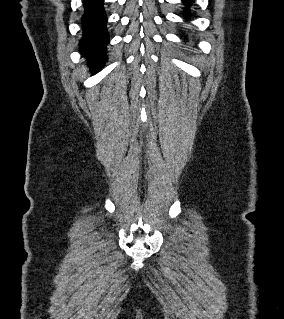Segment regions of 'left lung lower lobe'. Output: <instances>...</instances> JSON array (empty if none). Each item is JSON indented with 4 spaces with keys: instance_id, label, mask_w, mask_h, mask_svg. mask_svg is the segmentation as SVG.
Masks as SVG:
<instances>
[{
    "instance_id": "obj_1",
    "label": "left lung lower lobe",
    "mask_w": 284,
    "mask_h": 319,
    "mask_svg": "<svg viewBox=\"0 0 284 319\" xmlns=\"http://www.w3.org/2000/svg\"><path fill=\"white\" fill-rule=\"evenodd\" d=\"M186 5H187V7L189 6V5H191L192 4V1L193 0H182Z\"/></svg>"
}]
</instances>
